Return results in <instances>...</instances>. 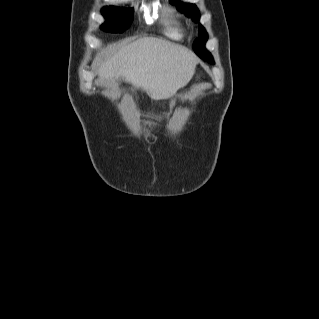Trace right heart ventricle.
<instances>
[{
    "instance_id": "right-heart-ventricle-1",
    "label": "right heart ventricle",
    "mask_w": 319,
    "mask_h": 319,
    "mask_svg": "<svg viewBox=\"0 0 319 319\" xmlns=\"http://www.w3.org/2000/svg\"><path fill=\"white\" fill-rule=\"evenodd\" d=\"M161 25L163 34L172 40H181L184 37V27L179 17L171 10H163Z\"/></svg>"
}]
</instances>
